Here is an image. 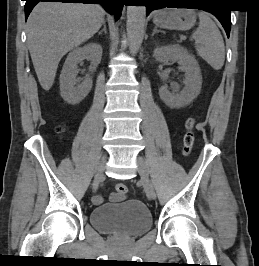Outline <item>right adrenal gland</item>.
I'll use <instances>...</instances> for the list:
<instances>
[{
	"label": "right adrenal gland",
	"mask_w": 259,
	"mask_h": 266,
	"mask_svg": "<svg viewBox=\"0 0 259 266\" xmlns=\"http://www.w3.org/2000/svg\"><path fill=\"white\" fill-rule=\"evenodd\" d=\"M102 32L107 33V30H106V21L105 20L103 22V29L98 34L100 35Z\"/></svg>",
	"instance_id": "obj_1"
}]
</instances>
